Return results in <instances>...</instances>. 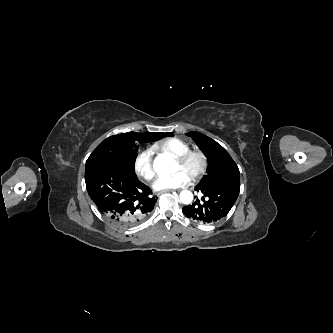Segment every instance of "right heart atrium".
I'll return each instance as SVG.
<instances>
[{
  "label": "right heart atrium",
  "mask_w": 333,
  "mask_h": 333,
  "mask_svg": "<svg viewBox=\"0 0 333 333\" xmlns=\"http://www.w3.org/2000/svg\"><path fill=\"white\" fill-rule=\"evenodd\" d=\"M153 154V150L147 148L140 151L134 160L136 174L146 181H151L155 177Z\"/></svg>",
  "instance_id": "right-heart-atrium-1"
}]
</instances>
